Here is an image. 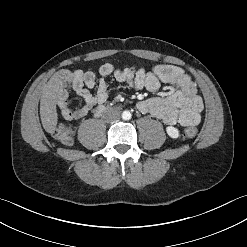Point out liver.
<instances>
[{"mask_svg":"<svg viewBox=\"0 0 247 247\" xmlns=\"http://www.w3.org/2000/svg\"><path fill=\"white\" fill-rule=\"evenodd\" d=\"M60 92V80L58 76L53 75L48 83L44 86L40 99L41 122L43 128L48 133H53L57 125L58 116L56 103Z\"/></svg>","mask_w":247,"mask_h":247,"instance_id":"liver-1","label":"liver"}]
</instances>
